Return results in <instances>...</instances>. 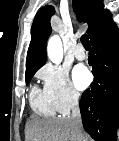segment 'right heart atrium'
Wrapping results in <instances>:
<instances>
[{
    "mask_svg": "<svg viewBox=\"0 0 119 141\" xmlns=\"http://www.w3.org/2000/svg\"><path fill=\"white\" fill-rule=\"evenodd\" d=\"M37 75L43 82V91L56 111L67 113L78 104L79 94L64 70L54 65H46Z\"/></svg>",
    "mask_w": 119,
    "mask_h": 141,
    "instance_id": "obj_1",
    "label": "right heart atrium"
}]
</instances>
